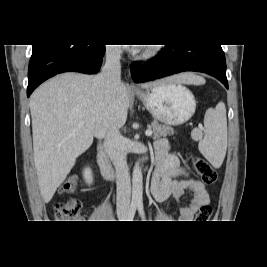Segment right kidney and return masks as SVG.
I'll return each mask as SVG.
<instances>
[{"instance_id": "right-kidney-1", "label": "right kidney", "mask_w": 267, "mask_h": 267, "mask_svg": "<svg viewBox=\"0 0 267 267\" xmlns=\"http://www.w3.org/2000/svg\"><path fill=\"white\" fill-rule=\"evenodd\" d=\"M83 176H84L85 182L90 185L93 181L91 169L90 168L84 169Z\"/></svg>"}]
</instances>
